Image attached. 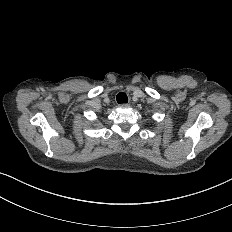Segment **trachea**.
Segmentation results:
<instances>
[{
    "instance_id": "obj_1",
    "label": "trachea",
    "mask_w": 232,
    "mask_h": 232,
    "mask_svg": "<svg viewBox=\"0 0 232 232\" xmlns=\"http://www.w3.org/2000/svg\"><path fill=\"white\" fill-rule=\"evenodd\" d=\"M116 99H117V102H118L119 104L127 103V102H128V97H127V95H126L125 93H123V92L118 93Z\"/></svg>"
}]
</instances>
